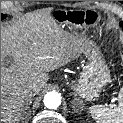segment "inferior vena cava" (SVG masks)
<instances>
[{
    "label": "inferior vena cava",
    "mask_w": 123,
    "mask_h": 123,
    "mask_svg": "<svg viewBox=\"0 0 123 123\" xmlns=\"http://www.w3.org/2000/svg\"><path fill=\"white\" fill-rule=\"evenodd\" d=\"M34 95H35V94H34V92L32 91L31 88H27V89H25V90L23 91V96H24L25 100H27L28 98H30V97H32V96H34Z\"/></svg>",
    "instance_id": "602c4592"
}]
</instances>
